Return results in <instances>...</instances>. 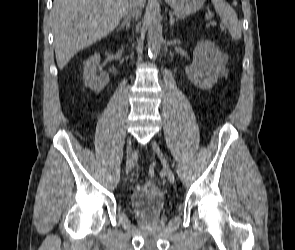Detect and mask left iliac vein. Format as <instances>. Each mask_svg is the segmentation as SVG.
Masks as SVG:
<instances>
[{"label": "left iliac vein", "instance_id": "4c4485c4", "mask_svg": "<svg viewBox=\"0 0 295 250\" xmlns=\"http://www.w3.org/2000/svg\"><path fill=\"white\" fill-rule=\"evenodd\" d=\"M151 146L153 148V150L160 156V158L162 159V164H163V169L166 172L167 178L171 183L175 182V175L172 171V169L170 168L168 161H167V157L166 155L162 152V150L159 147V144L157 143L156 140H151Z\"/></svg>", "mask_w": 295, "mask_h": 250}]
</instances>
